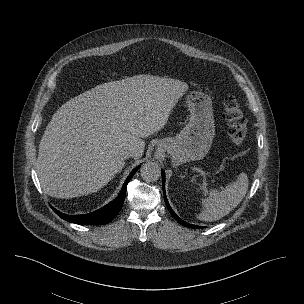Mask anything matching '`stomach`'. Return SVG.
<instances>
[{"label":"stomach","mask_w":304,"mask_h":304,"mask_svg":"<svg viewBox=\"0 0 304 304\" xmlns=\"http://www.w3.org/2000/svg\"><path fill=\"white\" fill-rule=\"evenodd\" d=\"M186 103L190 112L189 122L178 135L158 143L161 150L171 155L175 165L203 159L215 133L211 98L203 92L192 91L186 96Z\"/></svg>","instance_id":"obj_1"}]
</instances>
